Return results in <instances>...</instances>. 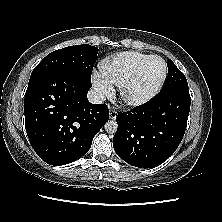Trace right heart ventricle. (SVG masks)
Returning <instances> with one entry per match:
<instances>
[{"label": "right heart ventricle", "mask_w": 222, "mask_h": 222, "mask_svg": "<svg viewBox=\"0 0 222 222\" xmlns=\"http://www.w3.org/2000/svg\"><path fill=\"white\" fill-rule=\"evenodd\" d=\"M151 55L128 51L105 59L101 64L103 75L117 87H121L139 65Z\"/></svg>", "instance_id": "obj_1"}]
</instances>
